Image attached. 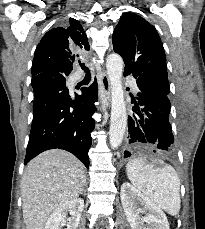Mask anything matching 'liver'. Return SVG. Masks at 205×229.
<instances>
[{"instance_id": "6515ba94", "label": "liver", "mask_w": 205, "mask_h": 229, "mask_svg": "<svg viewBox=\"0 0 205 229\" xmlns=\"http://www.w3.org/2000/svg\"><path fill=\"white\" fill-rule=\"evenodd\" d=\"M85 178L84 165L67 151L48 150L32 159L21 183L26 228L44 229L58 206L79 196Z\"/></svg>"}]
</instances>
